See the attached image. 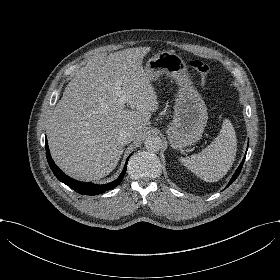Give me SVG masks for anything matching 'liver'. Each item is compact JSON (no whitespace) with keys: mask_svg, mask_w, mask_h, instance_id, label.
Segmentation results:
<instances>
[{"mask_svg":"<svg viewBox=\"0 0 280 280\" xmlns=\"http://www.w3.org/2000/svg\"><path fill=\"white\" fill-rule=\"evenodd\" d=\"M149 50L126 48L105 61L94 56L72 77L53 111L49 139L55 164L68 176L82 182L107 176L124 152L119 131L141 139L158 106L141 66Z\"/></svg>","mask_w":280,"mask_h":280,"instance_id":"1","label":"liver"}]
</instances>
